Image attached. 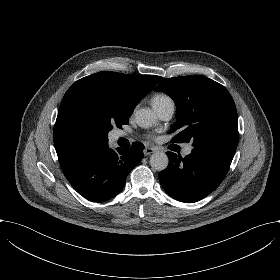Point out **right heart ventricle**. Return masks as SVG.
I'll return each mask as SVG.
<instances>
[{"instance_id":"1","label":"right heart ventricle","mask_w":280,"mask_h":280,"mask_svg":"<svg viewBox=\"0 0 280 280\" xmlns=\"http://www.w3.org/2000/svg\"><path fill=\"white\" fill-rule=\"evenodd\" d=\"M167 99H170L167 95L158 94V95L154 96V98L152 99V103L153 104H159L163 101H166Z\"/></svg>"}]
</instances>
